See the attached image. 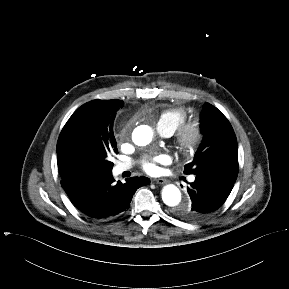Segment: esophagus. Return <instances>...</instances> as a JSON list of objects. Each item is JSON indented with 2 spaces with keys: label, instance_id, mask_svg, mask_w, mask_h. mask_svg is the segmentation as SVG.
Returning a JSON list of instances; mask_svg holds the SVG:
<instances>
[{
  "label": "esophagus",
  "instance_id": "34e87169",
  "mask_svg": "<svg viewBox=\"0 0 289 289\" xmlns=\"http://www.w3.org/2000/svg\"><path fill=\"white\" fill-rule=\"evenodd\" d=\"M154 182H156L157 184H165L167 183V180L164 178H157V179H153Z\"/></svg>",
  "mask_w": 289,
  "mask_h": 289
}]
</instances>
